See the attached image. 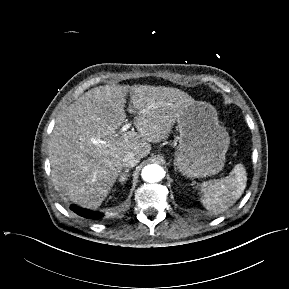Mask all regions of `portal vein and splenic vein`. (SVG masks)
Wrapping results in <instances>:
<instances>
[{
  "label": "portal vein and splenic vein",
  "instance_id": "portal-vein-and-splenic-vein-1",
  "mask_svg": "<svg viewBox=\"0 0 289 289\" xmlns=\"http://www.w3.org/2000/svg\"><path fill=\"white\" fill-rule=\"evenodd\" d=\"M130 112H135L134 110L130 109ZM146 110H143L142 112H145ZM131 127L130 123H127L125 125H123V127L120 129V133H123L125 131H127L129 128ZM94 143H97V141H94Z\"/></svg>",
  "mask_w": 289,
  "mask_h": 289
}]
</instances>
